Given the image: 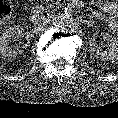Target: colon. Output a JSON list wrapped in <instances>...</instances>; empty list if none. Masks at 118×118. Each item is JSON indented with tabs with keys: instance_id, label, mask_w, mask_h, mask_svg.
<instances>
[{
	"instance_id": "obj_1",
	"label": "colon",
	"mask_w": 118,
	"mask_h": 118,
	"mask_svg": "<svg viewBox=\"0 0 118 118\" xmlns=\"http://www.w3.org/2000/svg\"><path fill=\"white\" fill-rule=\"evenodd\" d=\"M12 13L11 0H0V24L7 22Z\"/></svg>"
}]
</instances>
